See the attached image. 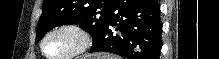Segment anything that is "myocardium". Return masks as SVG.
<instances>
[{"instance_id": "f54148a6", "label": "myocardium", "mask_w": 219, "mask_h": 59, "mask_svg": "<svg viewBox=\"0 0 219 59\" xmlns=\"http://www.w3.org/2000/svg\"><path fill=\"white\" fill-rule=\"evenodd\" d=\"M62 31L71 32L74 35H76L79 40L78 46L69 54H66L61 57H52L46 53L45 43L51 35ZM91 44V36L89 32L85 30L82 26L76 23H64L50 29L48 32L45 33L40 42V51L46 59H73L87 52L91 47Z\"/></svg>"}]
</instances>
